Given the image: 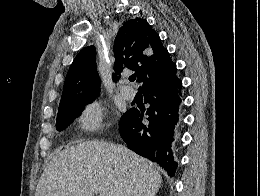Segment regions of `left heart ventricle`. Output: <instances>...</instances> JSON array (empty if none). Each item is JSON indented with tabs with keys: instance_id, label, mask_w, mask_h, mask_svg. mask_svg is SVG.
<instances>
[{
	"instance_id": "b2bd125f",
	"label": "left heart ventricle",
	"mask_w": 260,
	"mask_h": 196,
	"mask_svg": "<svg viewBox=\"0 0 260 196\" xmlns=\"http://www.w3.org/2000/svg\"><path fill=\"white\" fill-rule=\"evenodd\" d=\"M54 192H64V190H54ZM97 192H109L108 190H97Z\"/></svg>"
}]
</instances>
